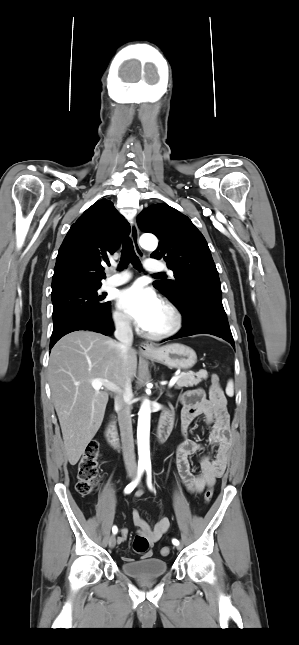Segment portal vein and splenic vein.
I'll return each mask as SVG.
<instances>
[{"label":"portal vein and splenic vein","instance_id":"portal-vein-and-splenic-vein-1","mask_svg":"<svg viewBox=\"0 0 299 645\" xmlns=\"http://www.w3.org/2000/svg\"><path fill=\"white\" fill-rule=\"evenodd\" d=\"M178 379H179V376H174L169 382V387H172L177 382ZM91 385H92V387L94 389H100V388H102L104 386V387L108 388L111 391H114V392L119 391L118 387H116L114 384H112L108 380H104V379H93L91 381Z\"/></svg>","mask_w":299,"mask_h":645}]
</instances>
